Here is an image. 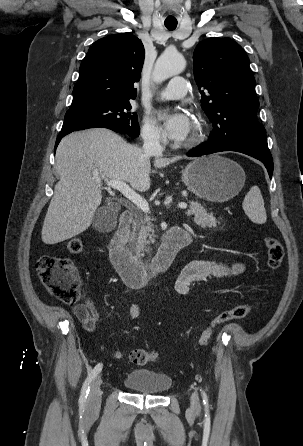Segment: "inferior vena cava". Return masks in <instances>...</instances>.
<instances>
[{"mask_svg":"<svg viewBox=\"0 0 303 446\" xmlns=\"http://www.w3.org/2000/svg\"><path fill=\"white\" fill-rule=\"evenodd\" d=\"M142 149L144 154L148 156L162 155L164 150L160 144L159 138L154 135H150L145 138Z\"/></svg>","mask_w":303,"mask_h":446,"instance_id":"1","label":"inferior vena cava"}]
</instances>
